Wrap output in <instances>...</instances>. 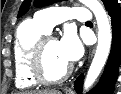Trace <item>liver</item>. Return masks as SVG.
<instances>
[{"label":"liver","instance_id":"obj_1","mask_svg":"<svg viewBox=\"0 0 121 94\" xmlns=\"http://www.w3.org/2000/svg\"><path fill=\"white\" fill-rule=\"evenodd\" d=\"M24 94H61V92L57 90H50V91L45 90V91H38V92H27Z\"/></svg>","mask_w":121,"mask_h":94}]
</instances>
